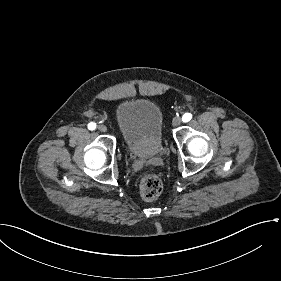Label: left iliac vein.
Returning a JSON list of instances; mask_svg holds the SVG:
<instances>
[{
	"label": "left iliac vein",
	"instance_id": "obj_1",
	"mask_svg": "<svg viewBox=\"0 0 281 281\" xmlns=\"http://www.w3.org/2000/svg\"><path fill=\"white\" fill-rule=\"evenodd\" d=\"M182 122V118L177 116V117H174L173 120H172V126L173 127H176L178 125H180Z\"/></svg>",
	"mask_w": 281,
	"mask_h": 281
}]
</instances>
